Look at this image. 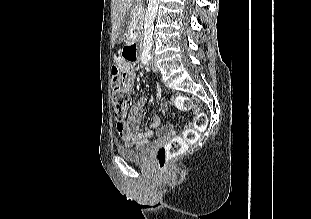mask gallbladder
<instances>
[{"mask_svg":"<svg viewBox=\"0 0 311 219\" xmlns=\"http://www.w3.org/2000/svg\"><path fill=\"white\" fill-rule=\"evenodd\" d=\"M127 26V18L124 17V19L121 22V27L119 29L118 37L116 39L117 42H120L123 38L124 29Z\"/></svg>","mask_w":311,"mask_h":219,"instance_id":"gallbladder-1","label":"gallbladder"}]
</instances>
